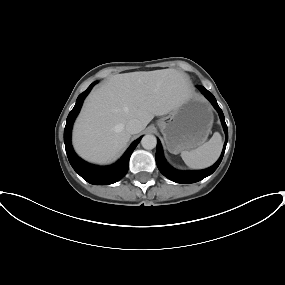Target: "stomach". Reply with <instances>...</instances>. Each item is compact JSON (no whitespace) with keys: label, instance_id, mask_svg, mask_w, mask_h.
Returning <instances> with one entry per match:
<instances>
[{"label":"stomach","instance_id":"0dacf381","mask_svg":"<svg viewBox=\"0 0 285 285\" xmlns=\"http://www.w3.org/2000/svg\"><path fill=\"white\" fill-rule=\"evenodd\" d=\"M213 124V113L208 102L193 95L158 120L167 149L173 154L200 147L208 138Z\"/></svg>","mask_w":285,"mask_h":285}]
</instances>
